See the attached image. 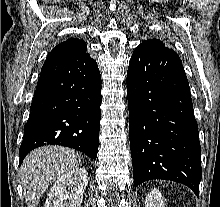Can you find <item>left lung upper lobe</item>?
<instances>
[{
    "label": "left lung upper lobe",
    "instance_id": "left-lung-upper-lobe-1",
    "mask_svg": "<svg viewBox=\"0 0 220 207\" xmlns=\"http://www.w3.org/2000/svg\"><path fill=\"white\" fill-rule=\"evenodd\" d=\"M142 43H152V44H155V45H164V46H166L165 43H163L159 39H148V40L143 41Z\"/></svg>",
    "mask_w": 220,
    "mask_h": 207
}]
</instances>
